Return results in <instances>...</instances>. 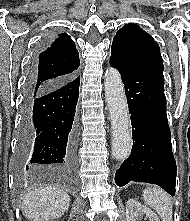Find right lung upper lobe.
<instances>
[{
	"mask_svg": "<svg viewBox=\"0 0 190 221\" xmlns=\"http://www.w3.org/2000/svg\"><path fill=\"white\" fill-rule=\"evenodd\" d=\"M79 54L75 43L66 33H61L36 59L33 70L35 89L56 85L76 77Z\"/></svg>",
	"mask_w": 190,
	"mask_h": 221,
	"instance_id": "cb5924a9",
	"label": "right lung upper lobe"
}]
</instances>
